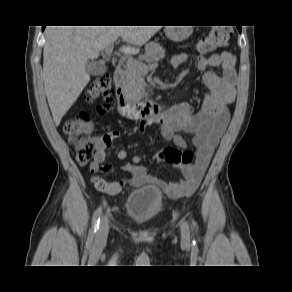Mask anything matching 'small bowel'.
Returning a JSON list of instances; mask_svg holds the SVG:
<instances>
[{
    "mask_svg": "<svg viewBox=\"0 0 292 292\" xmlns=\"http://www.w3.org/2000/svg\"><path fill=\"white\" fill-rule=\"evenodd\" d=\"M190 58L189 54L180 53L172 57L171 64L178 68ZM194 60L196 68L203 72L202 80L209 90L200 110L195 111L188 103L169 107L155 119L141 122L138 131L144 133L149 125L157 124L160 126L161 137L181 148L186 146V142L178 132L190 134L196 148L195 163L176 165L182 172V178L178 182L167 183L149 173L146 167L140 164L141 155H134L130 162L122 166V170L130 175L128 181L113 182L110 194H118L128 182L134 187L155 184L171 198H185L191 196L199 186L215 147L227 128L230 118L228 105L236 96L237 73L236 58L228 51L214 53L208 57L196 55ZM207 67H221L222 73L207 71ZM118 136L117 131H110L93 138L96 146L94 164L100 172H109L112 169L111 164H103V161L107 148ZM117 157L119 160H126L128 152L121 149L117 152Z\"/></svg>",
    "mask_w": 292,
    "mask_h": 292,
    "instance_id": "obj_1",
    "label": "small bowel"
}]
</instances>
